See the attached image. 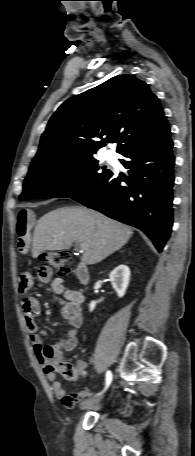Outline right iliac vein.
<instances>
[{
    "mask_svg": "<svg viewBox=\"0 0 195 456\" xmlns=\"http://www.w3.org/2000/svg\"><path fill=\"white\" fill-rule=\"evenodd\" d=\"M102 399V396L100 397H94V398H91V399H87L85 401H83L80 405V408L81 409H86V408H89L95 404H97L100 400Z\"/></svg>",
    "mask_w": 195,
    "mask_h": 456,
    "instance_id": "1",
    "label": "right iliac vein"
}]
</instances>
